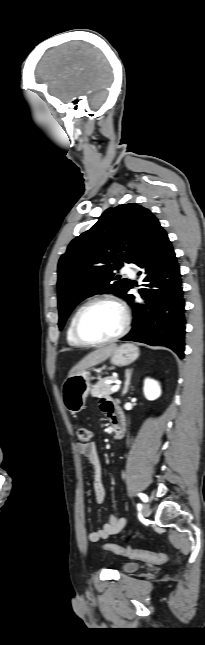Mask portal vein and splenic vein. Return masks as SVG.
Wrapping results in <instances>:
<instances>
[{
	"mask_svg": "<svg viewBox=\"0 0 205 645\" xmlns=\"http://www.w3.org/2000/svg\"><path fill=\"white\" fill-rule=\"evenodd\" d=\"M120 389V384L117 383L116 385L112 386L111 391L112 392H117Z\"/></svg>",
	"mask_w": 205,
	"mask_h": 645,
	"instance_id": "portal-vein-and-splenic-vein-1",
	"label": "portal vein and splenic vein"
}]
</instances>
